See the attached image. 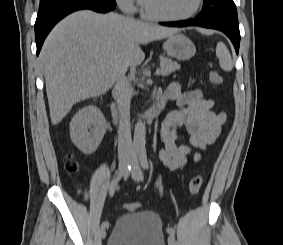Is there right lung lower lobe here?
I'll return each mask as SVG.
<instances>
[{
  "label": "right lung lower lobe",
  "mask_w": 283,
  "mask_h": 245,
  "mask_svg": "<svg viewBox=\"0 0 283 245\" xmlns=\"http://www.w3.org/2000/svg\"><path fill=\"white\" fill-rule=\"evenodd\" d=\"M115 6L116 2L114 0H52L40 4L35 22L37 55L48 33L66 15L82 9L106 13L113 10Z\"/></svg>",
  "instance_id": "obj_1"
}]
</instances>
